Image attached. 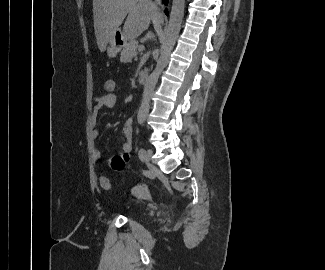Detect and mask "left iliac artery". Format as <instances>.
<instances>
[{"instance_id":"left-iliac-artery-1","label":"left iliac artery","mask_w":325,"mask_h":270,"mask_svg":"<svg viewBox=\"0 0 325 270\" xmlns=\"http://www.w3.org/2000/svg\"><path fill=\"white\" fill-rule=\"evenodd\" d=\"M145 153H146L145 149L141 148L139 150L138 155L141 160H143Z\"/></svg>"}]
</instances>
